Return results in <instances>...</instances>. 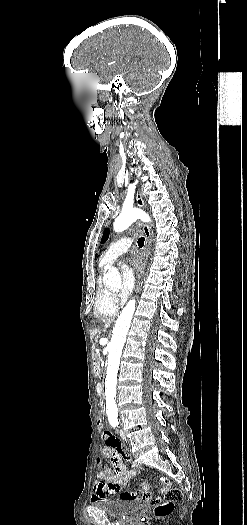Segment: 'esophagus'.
<instances>
[{
	"label": "esophagus",
	"instance_id": "34e87169",
	"mask_svg": "<svg viewBox=\"0 0 247 525\" xmlns=\"http://www.w3.org/2000/svg\"><path fill=\"white\" fill-rule=\"evenodd\" d=\"M136 202H137L138 207H141V208L144 207V201H143V198H142L140 192H137ZM143 231H144V234H145V237H146L145 247H144V255H145L144 265H145V261L148 259L149 255H150V243H151V238L150 237H151V234H150L149 227L147 225L143 226Z\"/></svg>",
	"mask_w": 247,
	"mask_h": 525
}]
</instances>
